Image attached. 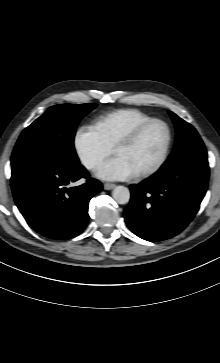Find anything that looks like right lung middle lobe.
Returning a JSON list of instances; mask_svg holds the SVG:
<instances>
[{
    "mask_svg": "<svg viewBox=\"0 0 220 363\" xmlns=\"http://www.w3.org/2000/svg\"><path fill=\"white\" fill-rule=\"evenodd\" d=\"M97 104L52 106L20 135L11 157L12 172L34 162L79 166L73 141L76 127Z\"/></svg>",
    "mask_w": 220,
    "mask_h": 363,
    "instance_id": "right-lung-middle-lobe-1",
    "label": "right lung middle lobe"
}]
</instances>
